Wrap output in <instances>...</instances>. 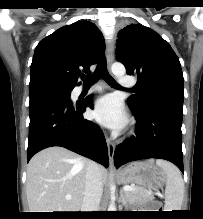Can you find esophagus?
<instances>
[{
  "instance_id": "1",
  "label": "esophagus",
  "mask_w": 203,
  "mask_h": 219,
  "mask_svg": "<svg viewBox=\"0 0 203 219\" xmlns=\"http://www.w3.org/2000/svg\"><path fill=\"white\" fill-rule=\"evenodd\" d=\"M114 60V42L113 40H108L106 45V61H107V67L110 69L112 63ZM106 143L108 147V154L110 160L113 159L114 151H115V144L112 142V140L107 136L106 137Z\"/></svg>"
}]
</instances>
